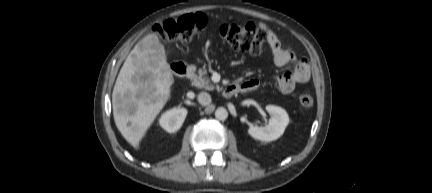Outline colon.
<instances>
[{
	"mask_svg": "<svg viewBox=\"0 0 432 193\" xmlns=\"http://www.w3.org/2000/svg\"><path fill=\"white\" fill-rule=\"evenodd\" d=\"M206 25L205 15L194 13L167 19L155 25L154 29L167 42H189L200 34ZM219 36L234 51L252 55L262 53L268 42L266 32L253 23L223 24L219 28ZM299 102L304 108L312 107L314 103L312 93L310 91L302 92L299 96Z\"/></svg>",
	"mask_w": 432,
	"mask_h": 193,
	"instance_id": "obj_1",
	"label": "colon"
}]
</instances>
